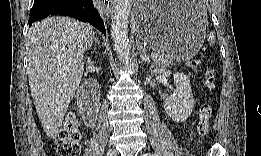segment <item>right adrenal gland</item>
Masks as SVG:
<instances>
[{
	"instance_id": "1",
	"label": "right adrenal gland",
	"mask_w": 261,
	"mask_h": 156,
	"mask_svg": "<svg viewBox=\"0 0 261 156\" xmlns=\"http://www.w3.org/2000/svg\"><path fill=\"white\" fill-rule=\"evenodd\" d=\"M93 43L99 44V39L97 37H93V40L91 41V43L88 46V49H90L92 47Z\"/></svg>"
}]
</instances>
